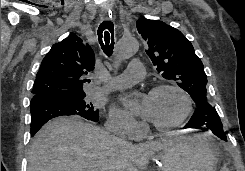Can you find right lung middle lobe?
<instances>
[{
  "mask_svg": "<svg viewBox=\"0 0 245 171\" xmlns=\"http://www.w3.org/2000/svg\"><path fill=\"white\" fill-rule=\"evenodd\" d=\"M86 95H78V96H67V95H59L56 98L60 99L64 103L72 106L77 111H80L83 115L93 118L99 117V110H96L92 107V104H86L84 101V97Z\"/></svg>",
  "mask_w": 245,
  "mask_h": 171,
  "instance_id": "obj_1",
  "label": "right lung middle lobe"
}]
</instances>
